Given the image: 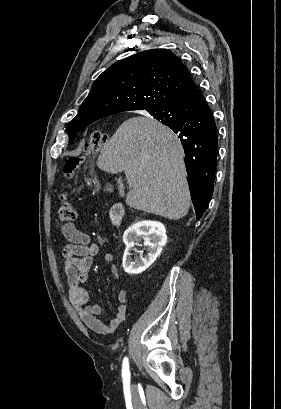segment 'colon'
<instances>
[{
    "instance_id": "colon-1",
    "label": "colon",
    "mask_w": 281,
    "mask_h": 409,
    "mask_svg": "<svg viewBox=\"0 0 281 409\" xmlns=\"http://www.w3.org/2000/svg\"><path fill=\"white\" fill-rule=\"evenodd\" d=\"M107 143V134L100 129H95L90 137L89 143L86 146V151L89 153L99 152ZM83 163V159L78 156L68 158L63 167V173L70 177L73 176ZM58 223L63 229L67 225L73 223L76 219V206L67 199L65 193L59 194V203L56 214ZM69 230V227L67 228Z\"/></svg>"
}]
</instances>
